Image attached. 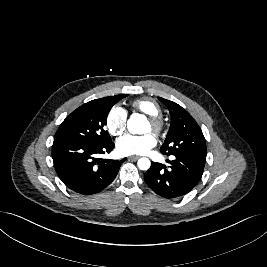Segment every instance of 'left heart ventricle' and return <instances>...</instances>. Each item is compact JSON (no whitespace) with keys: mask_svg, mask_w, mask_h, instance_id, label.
Instances as JSON below:
<instances>
[{"mask_svg":"<svg viewBox=\"0 0 267 267\" xmlns=\"http://www.w3.org/2000/svg\"><path fill=\"white\" fill-rule=\"evenodd\" d=\"M150 130H151V127H150V124L148 123L147 126H146L145 131L148 132V131H150Z\"/></svg>","mask_w":267,"mask_h":267,"instance_id":"1","label":"left heart ventricle"}]
</instances>
